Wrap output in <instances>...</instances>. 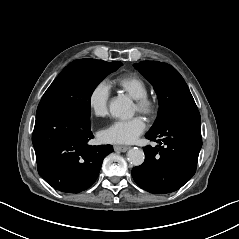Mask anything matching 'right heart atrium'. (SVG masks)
Segmentation results:
<instances>
[{
	"label": "right heart atrium",
	"mask_w": 239,
	"mask_h": 239,
	"mask_svg": "<svg viewBox=\"0 0 239 239\" xmlns=\"http://www.w3.org/2000/svg\"><path fill=\"white\" fill-rule=\"evenodd\" d=\"M110 95V88L104 81L97 82L90 88L87 104L93 116L103 117L107 114Z\"/></svg>",
	"instance_id": "right-heart-atrium-1"
}]
</instances>
